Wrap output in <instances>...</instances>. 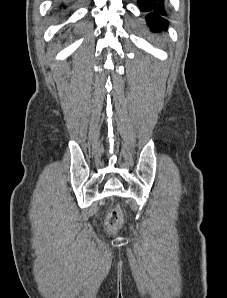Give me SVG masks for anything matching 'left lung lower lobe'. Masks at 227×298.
Returning a JSON list of instances; mask_svg holds the SVG:
<instances>
[{"label": "left lung lower lobe", "instance_id": "0a47b994", "mask_svg": "<svg viewBox=\"0 0 227 298\" xmlns=\"http://www.w3.org/2000/svg\"><path fill=\"white\" fill-rule=\"evenodd\" d=\"M163 2L164 0H138L141 11H150L146 19L152 31H161L168 25L167 20L161 17L166 15Z\"/></svg>", "mask_w": 227, "mask_h": 298}]
</instances>
